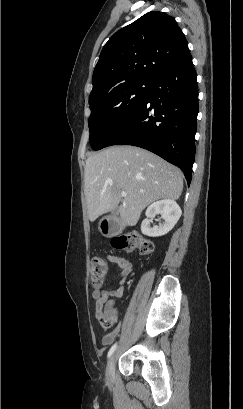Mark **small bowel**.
<instances>
[{"label": "small bowel", "instance_id": "obj_1", "mask_svg": "<svg viewBox=\"0 0 243 409\" xmlns=\"http://www.w3.org/2000/svg\"><path fill=\"white\" fill-rule=\"evenodd\" d=\"M107 259L118 265L119 270L117 272V284L119 285L116 289L103 290L98 295L96 300V317L99 318V313L102 310L103 306L107 303L112 306L113 301L117 298L122 297L124 293L123 285L126 282L128 275L131 273L132 265L129 260L116 256V255H107ZM119 331V324L109 333L105 334L102 337V344L108 346L114 340V337Z\"/></svg>", "mask_w": 243, "mask_h": 409}]
</instances>
